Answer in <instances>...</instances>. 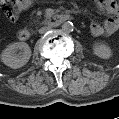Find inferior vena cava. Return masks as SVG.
Listing matches in <instances>:
<instances>
[{
  "label": "inferior vena cava",
  "mask_w": 119,
  "mask_h": 119,
  "mask_svg": "<svg viewBox=\"0 0 119 119\" xmlns=\"http://www.w3.org/2000/svg\"><path fill=\"white\" fill-rule=\"evenodd\" d=\"M50 29H51V27H49V26L42 27V28L39 29V33L43 34V33L47 32Z\"/></svg>",
  "instance_id": "obj_1"
}]
</instances>
